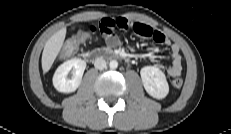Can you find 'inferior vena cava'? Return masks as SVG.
<instances>
[{
    "label": "inferior vena cava",
    "instance_id": "obj_1",
    "mask_svg": "<svg viewBox=\"0 0 231 134\" xmlns=\"http://www.w3.org/2000/svg\"><path fill=\"white\" fill-rule=\"evenodd\" d=\"M94 66L96 69L102 70L106 68V61L102 57H99L95 60Z\"/></svg>",
    "mask_w": 231,
    "mask_h": 134
}]
</instances>
